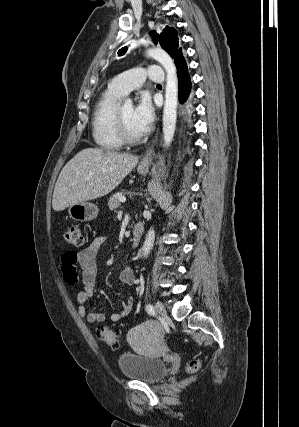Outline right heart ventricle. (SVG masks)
<instances>
[{"label":"right heart ventricle","mask_w":299,"mask_h":427,"mask_svg":"<svg viewBox=\"0 0 299 427\" xmlns=\"http://www.w3.org/2000/svg\"><path fill=\"white\" fill-rule=\"evenodd\" d=\"M124 95L109 85L97 100L92 117V136L95 144L105 151H115L123 142L115 125V112Z\"/></svg>","instance_id":"1"}]
</instances>
